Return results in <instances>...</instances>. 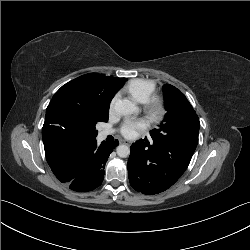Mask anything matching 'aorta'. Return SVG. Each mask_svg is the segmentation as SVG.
<instances>
[{"instance_id": "aorta-1", "label": "aorta", "mask_w": 250, "mask_h": 250, "mask_svg": "<svg viewBox=\"0 0 250 250\" xmlns=\"http://www.w3.org/2000/svg\"><path fill=\"white\" fill-rule=\"evenodd\" d=\"M114 108L121 115H130L138 111L137 106L127 99L117 100ZM116 151L121 158H126L130 155V148L127 145H119Z\"/></svg>"}]
</instances>
